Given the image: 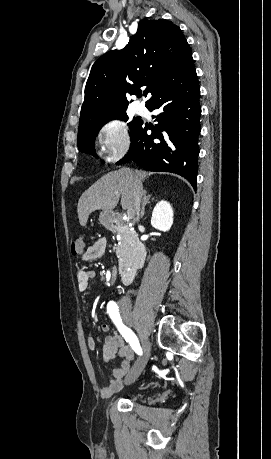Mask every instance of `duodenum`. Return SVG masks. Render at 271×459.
I'll return each mask as SVG.
<instances>
[{"label": "duodenum", "mask_w": 271, "mask_h": 459, "mask_svg": "<svg viewBox=\"0 0 271 459\" xmlns=\"http://www.w3.org/2000/svg\"><path fill=\"white\" fill-rule=\"evenodd\" d=\"M110 224L115 230L128 235L131 238L132 245L134 248V256L131 264V268L126 270L121 275V280L124 284H129L134 278L135 272L143 267L146 257L147 249L145 244L139 239L137 233L133 228L125 224L120 218L112 217Z\"/></svg>", "instance_id": "obj_1"}]
</instances>
